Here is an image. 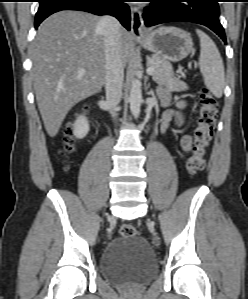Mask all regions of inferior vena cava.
I'll list each match as a JSON object with an SVG mask.
<instances>
[{
  "label": "inferior vena cava",
  "instance_id": "602c4592",
  "mask_svg": "<svg viewBox=\"0 0 248 299\" xmlns=\"http://www.w3.org/2000/svg\"><path fill=\"white\" fill-rule=\"evenodd\" d=\"M104 36L105 49V89L106 100L112 117L116 118L117 106L122 98L124 68L120 54L119 21L109 15L103 16L98 24Z\"/></svg>",
  "mask_w": 248,
  "mask_h": 299
}]
</instances>
